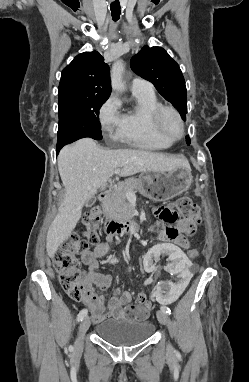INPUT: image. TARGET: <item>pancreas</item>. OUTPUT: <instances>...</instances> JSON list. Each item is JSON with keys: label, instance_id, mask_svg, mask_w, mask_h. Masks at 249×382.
<instances>
[{"label": "pancreas", "instance_id": "1", "mask_svg": "<svg viewBox=\"0 0 249 382\" xmlns=\"http://www.w3.org/2000/svg\"><path fill=\"white\" fill-rule=\"evenodd\" d=\"M139 181L136 178H128L114 187L104 205V214L109 218H129L131 210L126 201L129 191L139 188Z\"/></svg>", "mask_w": 249, "mask_h": 382}]
</instances>
